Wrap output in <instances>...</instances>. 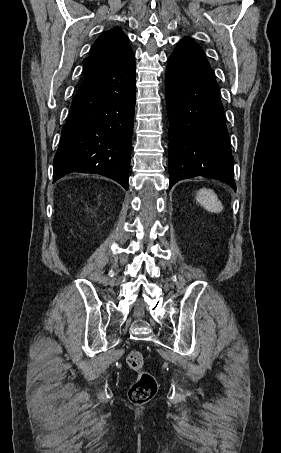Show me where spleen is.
<instances>
[{"label":"spleen","instance_id":"spleen-1","mask_svg":"<svg viewBox=\"0 0 281 453\" xmlns=\"http://www.w3.org/2000/svg\"><path fill=\"white\" fill-rule=\"evenodd\" d=\"M203 190L204 194L197 198L199 204L204 206L209 212H221V210H223V204L214 190H211V188H203Z\"/></svg>","mask_w":281,"mask_h":453}]
</instances>
